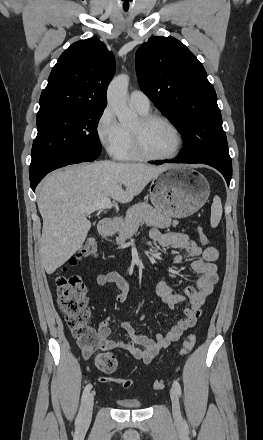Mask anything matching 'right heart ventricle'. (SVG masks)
<instances>
[{
	"label": "right heart ventricle",
	"instance_id": "1",
	"mask_svg": "<svg viewBox=\"0 0 263 440\" xmlns=\"http://www.w3.org/2000/svg\"><path fill=\"white\" fill-rule=\"evenodd\" d=\"M141 115L147 114L148 111L146 112H141L138 111ZM125 140L124 143L121 147V149L119 150L118 154L116 155L119 159L121 160H136V159H140L134 152L133 147H132V140H131V135H130V130L129 128H125Z\"/></svg>",
	"mask_w": 263,
	"mask_h": 440
}]
</instances>
